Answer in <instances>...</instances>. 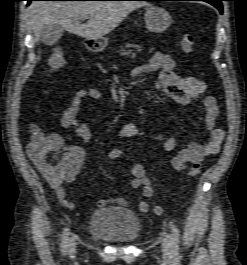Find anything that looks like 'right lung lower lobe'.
Masks as SVG:
<instances>
[{"label": "right lung lower lobe", "instance_id": "1", "mask_svg": "<svg viewBox=\"0 0 247 265\" xmlns=\"http://www.w3.org/2000/svg\"><path fill=\"white\" fill-rule=\"evenodd\" d=\"M26 1L28 2V5H29L31 3V1H35V0H26Z\"/></svg>", "mask_w": 247, "mask_h": 265}]
</instances>
